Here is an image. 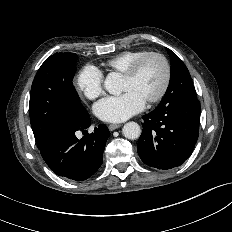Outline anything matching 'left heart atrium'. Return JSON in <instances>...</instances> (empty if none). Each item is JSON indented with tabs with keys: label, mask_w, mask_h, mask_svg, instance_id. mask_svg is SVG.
I'll list each match as a JSON object with an SVG mask.
<instances>
[{
	"label": "left heart atrium",
	"mask_w": 232,
	"mask_h": 232,
	"mask_svg": "<svg viewBox=\"0 0 232 232\" xmlns=\"http://www.w3.org/2000/svg\"><path fill=\"white\" fill-rule=\"evenodd\" d=\"M145 99L133 90L119 96H109L94 106L96 116L105 122H123L143 110Z\"/></svg>",
	"instance_id": "left-heart-atrium-1"
}]
</instances>
